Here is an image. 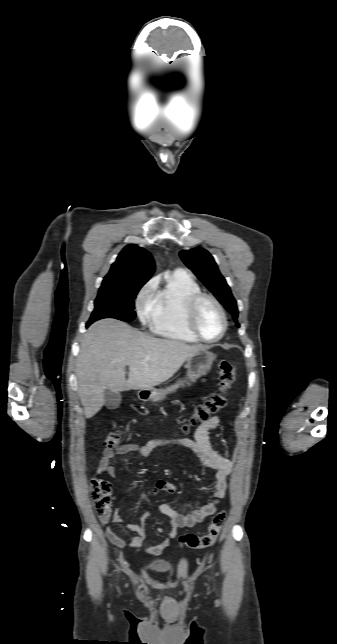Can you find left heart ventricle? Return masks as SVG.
Returning <instances> with one entry per match:
<instances>
[{
    "instance_id": "obj_1",
    "label": "left heart ventricle",
    "mask_w": 337,
    "mask_h": 644,
    "mask_svg": "<svg viewBox=\"0 0 337 644\" xmlns=\"http://www.w3.org/2000/svg\"><path fill=\"white\" fill-rule=\"evenodd\" d=\"M197 325L200 333L207 339L216 338L222 330V318L217 307L204 301L199 309Z\"/></svg>"
}]
</instances>
